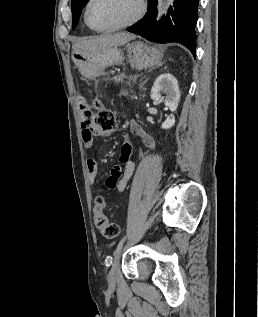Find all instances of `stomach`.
Instances as JSON below:
<instances>
[{
	"label": "stomach",
	"mask_w": 258,
	"mask_h": 317,
	"mask_svg": "<svg viewBox=\"0 0 258 317\" xmlns=\"http://www.w3.org/2000/svg\"><path fill=\"white\" fill-rule=\"evenodd\" d=\"M128 62L134 68L142 70V68H150V66H157L162 62V52L154 46H147L141 40L135 42H128L125 46ZM124 52L118 46H105V48H98V50H73L72 60L75 62L79 72L83 76H97L102 74L106 66L112 64H121L124 60Z\"/></svg>",
	"instance_id": "1"
}]
</instances>
